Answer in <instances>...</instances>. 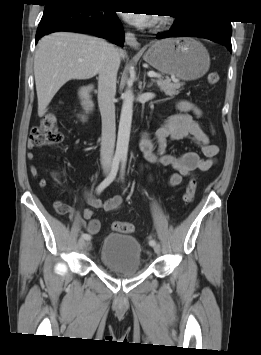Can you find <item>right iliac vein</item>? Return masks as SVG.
I'll list each match as a JSON object with an SVG mask.
<instances>
[{
	"label": "right iliac vein",
	"mask_w": 261,
	"mask_h": 355,
	"mask_svg": "<svg viewBox=\"0 0 261 355\" xmlns=\"http://www.w3.org/2000/svg\"><path fill=\"white\" fill-rule=\"evenodd\" d=\"M78 245L81 249H87L89 247L90 243L86 242L84 239L81 238L78 242Z\"/></svg>",
	"instance_id": "obj_1"
}]
</instances>
